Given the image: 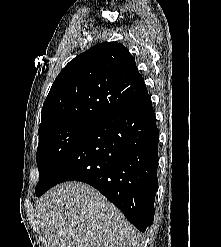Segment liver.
I'll use <instances>...</instances> for the list:
<instances>
[{"label": "liver", "instance_id": "obj_1", "mask_svg": "<svg viewBox=\"0 0 221 247\" xmlns=\"http://www.w3.org/2000/svg\"><path fill=\"white\" fill-rule=\"evenodd\" d=\"M36 213L48 247H139V235L122 212L81 182L48 191Z\"/></svg>", "mask_w": 221, "mask_h": 247}]
</instances>
